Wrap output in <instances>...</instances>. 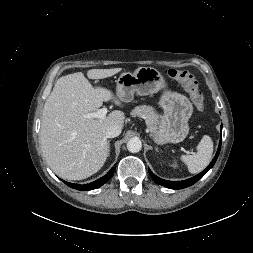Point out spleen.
Segmentation results:
<instances>
[{
    "instance_id": "spleen-1",
    "label": "spleen",
    "mask_w": 253,
    "mask_h": 253,
    "mask_svg": "<svg viewBox=\"0 0 253 253\" xmlns=\"http://www.w3.org/2000/svg\"><path fill=\"white\" fill-rule=\"evenodd\" d=\"M213 153V142L208 135H204L197 146V152L193 155L181 156L190 173L195 174L202 171L210 163Z\"/></svg>"
}]
</instances>
